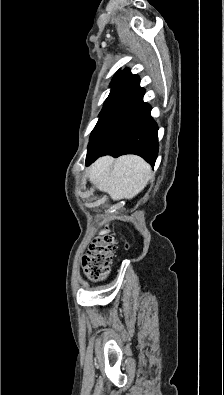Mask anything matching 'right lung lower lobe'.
I'll return each mask as SVG.
<instances>
[{"mask_svg":"<svg viewBox=\"0 0 224 395\" xmlns=\"http://www.w3.org/2000/svg\"><path fill=\"white\" fill-rule=\"evenodd\" d=\"M140 80L128 69L120 72L105 101L88 145L86 165L98 157L136 154L154 166L158 153V127L143 102Z\"/></svg>","mask_w":224,"mask_h":395,"instance_id":"1","label":"right lung lower lobe"}]
</instances>
